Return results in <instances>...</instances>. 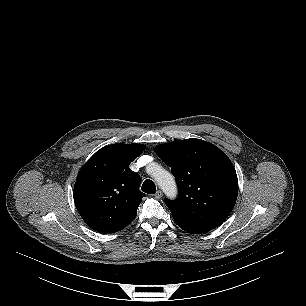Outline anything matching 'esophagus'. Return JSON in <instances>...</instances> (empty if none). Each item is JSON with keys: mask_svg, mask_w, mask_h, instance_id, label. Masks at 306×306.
<instances>
[{"mask_svg": "<svg viewBox=\"0 0 306 306\" xmlns=\"http://www.w3.org/2000/svg\"><path fill=\"white\" fill-rule=\"evenodd\" d=\"M154 196L156 199H160L163 196V193L161 190H158Z\"/></svg>", "mask_w": 306, "mask_h": 306, "instance_id": "34e87169", "label": "esophagus"}]
</instances>
